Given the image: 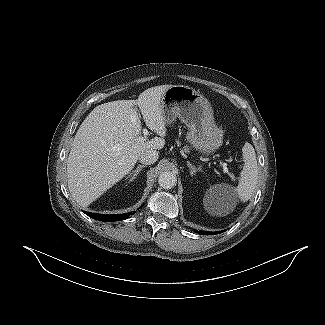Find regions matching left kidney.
<instances>
[{"instance_id": "left-kidney-1", "label": "left kidney", "mask_w": 325, "mask_h": 325, "mask_svg": "<svg viewBox=\"0 0 325 325\" xmlns=\"http://www.w3.org/2000/svg\"><path fill=\"white\" fill-rule=\"evenodd\" d=\"M225 190V186L223 185H216L214 187H211L207 192H206V202H218L221 201L223 192Z\"/></svg>"}]
</instances>
